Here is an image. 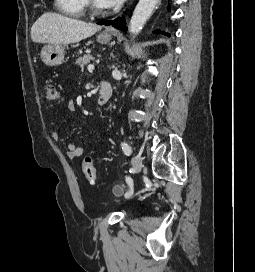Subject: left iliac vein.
Masks as SVG:
<instances>
[{
  "label": "left iliac vein",
  "mask_w": 255,
  "mask_h": 272,
  "mask_svg": "<svg viewBox=\"0 0 255 272\" xmlns=\"http://www.w3.org/2000/svg\"><path fill=\"white\" fill-rule=\"evenodd\" d=\"M132 166L136 172H140L142 169V159L139 155H135L132 158Z\"/></svg>",
  "instance_id": "left-iliac-vein-1"
}]
</instances>
